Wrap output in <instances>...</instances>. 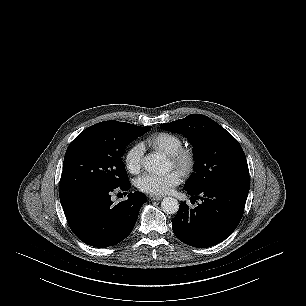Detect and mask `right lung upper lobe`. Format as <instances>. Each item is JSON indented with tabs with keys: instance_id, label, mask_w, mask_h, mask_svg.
<instances>
[{
	"instance_id": "right-lung-upper-lobe-1",
	"label": "right lung upper lobe",
	"mask_w": 306,
	"mask_h": 306,
	"mask_svg": "<svg viewBox=\"0 0 306 306\" xmlns=\"http://www.w3.org/2000/svg\"><path fill=\"white\" fill-rule=\"evenodd\" d=\"M122 123H124V122H122ZM125 124H129V123H125ZM129 125H134V124H129ZM134 126H136V125H134Z\"/></svg>"
}]
</instances>
